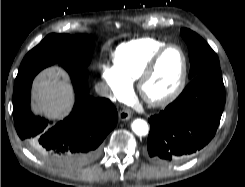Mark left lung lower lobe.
Returning a JSON list of instances; mask_svg holds the SVG:
<instances>
[{
    "label": "left lung lower lobe",
    "instance_id": "obj_1",
    "mask_svg": "<svg viewBox=\"0 0 245 187\" xmlns=\"http://www.w3.org/2000/svg\"><path fill=\"white\" fill-rule=\"evenodd\" d=\"M224 104L220 67L194 77L173 103L148 119L147 156L163 165L192 156L214 137Z\"/></svg>",
    "mask_w": 245,
    "mask_h": 187
}]
</instances>
